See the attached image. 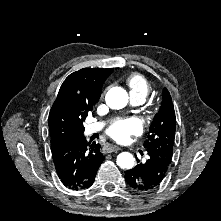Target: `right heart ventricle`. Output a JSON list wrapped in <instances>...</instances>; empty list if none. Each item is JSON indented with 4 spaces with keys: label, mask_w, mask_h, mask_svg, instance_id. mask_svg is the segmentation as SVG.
I'll use <instances>...</instances> for the list:
<instances>
[{
    "label": "right heart ventricle",
    "mask_w": 221,
    "mask_h": 221,
    "mask_svg": "<svg viewBox=\"0 0 221 221\" xmlns=\"http://www.w3.org/2000/svg\"><path fill=\"white\" fill-rule=\"evenodd\" d=\"M126 85L130 89V96L141 97L144 101L151 91L149 80L141 73H133L128 76Z\"/></svg>",
    "instance_id": "e07e8e85"
}]
</instances>
